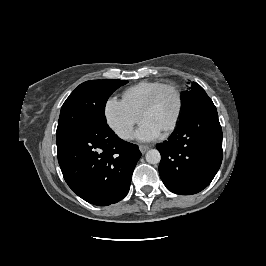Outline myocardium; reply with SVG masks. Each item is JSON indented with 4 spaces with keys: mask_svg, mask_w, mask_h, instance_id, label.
Returning <instances> with one entry per match:
<instances>
[{
    "mask_svg": "<svg viewBox=\"0 0 266 266\" xmlns=\"http://www.w3.org/2000/svg\"><path fill=\"white\" fill-rule=\"evenodd\" d=\"M165 89H172L176 96H177V110L175 113V116L173 118V120L171 121V123L163 130L165 133H168L170 131H172L181 116L182 113V109H183V97H182V93L180 88L172 83H167V84H163L160 87H158L148 98V100L145 102V104L143 105L141 112H140V116L142 119H144V115L147 112L148 109H150L153 104L156 102V100L158 99L159 95L165 90Z\"/></svg>",
    "mask_w": 266,
    "mask_h": 266,
    "instance_id": "obj_1",
    "label": "myocardium"
}]
</instances>
